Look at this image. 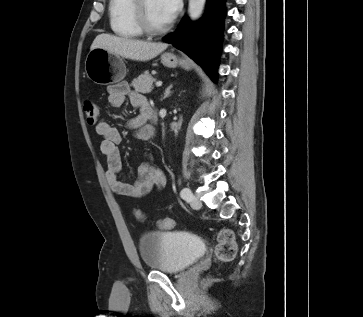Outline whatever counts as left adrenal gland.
<instances>
[{
	"instance_id": "obj_1",
	"label": "left adrenal gland",
	"mask_w": 363,
	"mask_h": 317,
	"mask_svg": "<svg viewBox=\"0 0 363 317\" xmlns=\"http://www.w3.org/2000/svg\"><path fill=\"white\" fill-rule=\"evenodd\" d=\"M173 87V85L171 84V85H169L167 88H166V90H165V93H164V96L162 97V99L161 100H163V99H165V98H167V97H169L170 95H171V88Z\"/></svg>"
}]
</instances>
